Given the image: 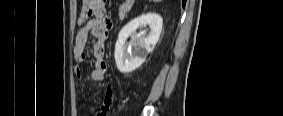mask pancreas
Returning <instances> with one entry per match:
<instances>
[{"label":"pancreas","mask_w":283,"mask_h":116,"mask_svg":"<svg viewBox=\"0 0 283 116\" xmlns=\"http://www.w3.org/2000/svg\"><path fill=\"white\" fill-rule=\"evenodd\" d=\"M128 11H129V6L127 4H124V5L120 6V8H119V17L121 19L125 18V16L127 15Z\"/></svg>","instance_id":"1"}]
</instances>
